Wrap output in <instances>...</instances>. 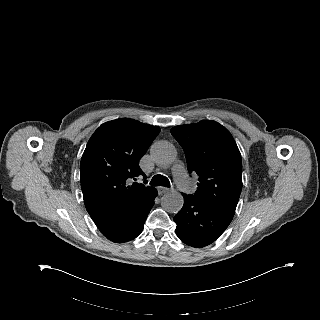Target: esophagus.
<instances>
[{
  "instance_id": "34e87169",
  "label": "esophagus",
  "mask_w": 320,
  "mask_h": 320,
  "mask_svg": "<svg viewBox=\"0 0 320 320\" xmlns=\"http://www.w3.org/2000/svg\"><path fill=\"white\" fill-rule=\"evenodd\" d=\"M158 192H159V194H164V193L170 192V189L167 187H159Z\"/></svg>"
}]
</instances>
